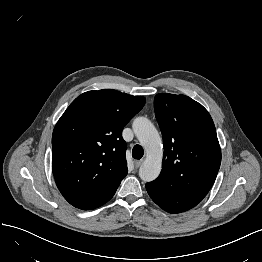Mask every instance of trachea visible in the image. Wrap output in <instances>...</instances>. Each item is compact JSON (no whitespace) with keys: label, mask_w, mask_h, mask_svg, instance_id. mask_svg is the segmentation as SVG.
I'll use <instances>...</instances> for the list:
<instances>
[{"label":"trachea","mask_w":262,"mask_h":262,"mask_svg":"<svg viewBox=\"0 0 262 262\" xmlns=\"http://www.w3.org/2000/svg\"><path fill=\"white\" fill-rule=\"evenodd\" d=\"M144 154V150L140 145H135L132 149V157L134 159H141Z\"/></svg>","instance_id":"trachea-1"}]
</instances>
